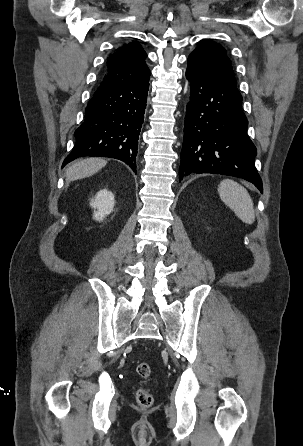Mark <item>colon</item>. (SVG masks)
Segmentation results:
<instances>
[{
  "label": "colon",
  "instance_id": "obj_1",
  "mask_svg": "<svg viewBox=\"0 0 303 446\" xmlns=\"http://www.w3.org/2000/svg\"><path fill=\"white\" fill-rule=\"evenodd\" d=\"M137 374L143 379H149L151 376V367L147 362H141L136 367ZM136 400L139 406L149 408L152 406L154 398L152 392L147 388H140L136 394Z\"/></svg>",
  "mask_w": 303,
  "mask_h": 446
}]
</instances>
